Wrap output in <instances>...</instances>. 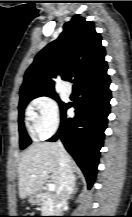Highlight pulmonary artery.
I'll return each mask as SVG.
<instances>
[{
    "label": "pulmonary artery",
    "mask_w": 132,
    "mask_h": 217,
    "mask_svg": "<svg viewBox=\"0 0 132 217\" xmlns=\"http://www.w3.org/2000/svg\"><path fill=\"white\" fill-rule=\"evenodd\" d=\"M65 92L68 94V95H70L71 93H72V87H71V85H66V87H65Z\"/></svg>",
    "instance_id": "1"
}]
</instances>
